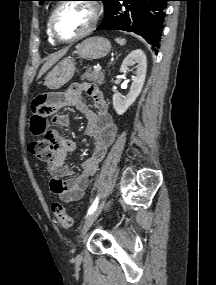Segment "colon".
Here are the masks:
<instances>
[{
	"label": "colon",
	"instance_id": "1",
	"mask_svg": "<svg viewBox=\"0 0 216 285\" xmlns=\"http://www.w3.org/2000/svg\"><path fill=\"white\" fill-rule=\"evenodd\" d=\"M30 152L40 161L49 163L53 160L55 151L52 144H44V141L33 140L29 144ZM52 212L56 217L58 223L64 229H71L73 226V220L67 213L65 206L60 202H54L52 204Z\"/></svg>",
	"mask_w": 216,
	"mask_h": 285
}]
</instances>
